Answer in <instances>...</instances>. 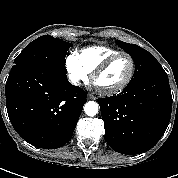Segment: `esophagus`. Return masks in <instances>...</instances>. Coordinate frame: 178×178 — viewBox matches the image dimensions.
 Segmentation results:
<instances>
[{"label":"esophagus","mask_w":178,"mask_h":178,"mask_svg":"<svg viewBox=\"0 0 178 178\" xmlns=\"http://www.w3.org/2000/svg\"><path fill=\"white\" fill-rule=\"evenodd\" d=\"M87 99L88 100H96V97L94 95H92V94H88L87 95Z\"/></svg>","instance_id":"esophagus-1"}]
</instances>
